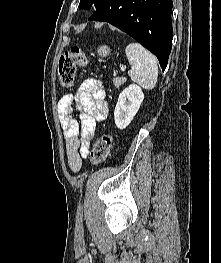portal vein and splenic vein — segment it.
Listing matches in <instances>:
<instances>
[{
    "label": "portal vein and splenic vein",
    "instance_id": "18ae733b",
    "mask_svg": "<svg viewBox=\"0 0 221 263\" xmlns=\"http://www.w3.org/2000/svg\"><path fill=\"white\" fill-rule=\"evenodd\" d=\"M120 68L122 71H125V66L122 65Z\"/></svg>",
    "mask_w": 221,
    "mask_h": 263
}]
</instances>
